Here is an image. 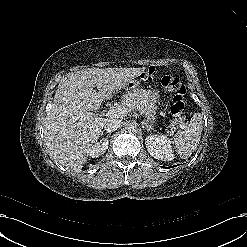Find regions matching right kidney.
Wrapping results in <instances>:
<instances>
[{
	"mask_svg": "<svg viewBox=\"0 0 247 247\" xmlns=\"http://www.w3.org/2000/svg\"><path fill=\"white\" fill-rule=\"evenodd\" d=\"M109 141L107 139H102L100 142H96L90 148L88 155L92 158L99 157L104 154L108 149Z\"/></svg>",
	"mask_w": 247,
	"mask_h": 247,
	"instance_id": "obj_1",
	"label": "right kidney"
}]
</instances>
